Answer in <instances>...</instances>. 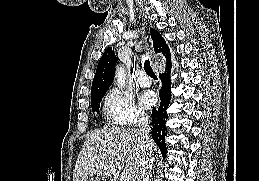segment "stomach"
Masks as SVG:
<instances>
[{"instance_id": "obj_1", "label": "stomach", "mask_w": 259, "mask_h": 181, "mask_svg": "<svg viewBox=\"0 0 259 181\" xmlns=\"http://www.w3.org/2000/svg\"><path fill=\"white\" fill-rule=\"evenodd\" d=\"M95 181H109L106 177L99 176L95 179Z\"/></svg>"}]
</instances>
